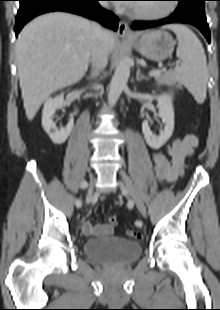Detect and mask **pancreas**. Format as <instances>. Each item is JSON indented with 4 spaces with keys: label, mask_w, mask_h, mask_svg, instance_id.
<instances>
[{
    "label": "pancreas",
    "mask_w": 220,
    "mask_h": 310,
    "mask_svg": "<svg viewBox=\"0 0 220 310\" xmlns=\"http://www.w3.org/2000/svg\"><path fill=\"white\" fill-rule=\"evenodd\" d=\"M155 80L159 85H174L176 83L175 74L172 71H168L164 74L155 76Z\"/></svg>",
    "instance_id": "1"
}]
</instances>
